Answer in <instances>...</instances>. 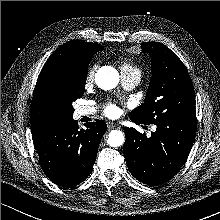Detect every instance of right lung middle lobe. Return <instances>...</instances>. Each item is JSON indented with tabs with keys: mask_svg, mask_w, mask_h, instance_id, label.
<instances>
[{
	"mask_svg": "<svg viewBox=\"0 0 220 220\" xmlns=\"http://www.w3.org/2000/svg\"><path fill=\"white\" fill-rule=\"evenodd\" d=\"M92 57L73 60L64 65L56 76L55 96L62 118H72V103L84 93L88 65Z\"/></svg>",
	"mask_w": 220,
	"mask_h": 220,
	"instance_id": "dd1d6c3e",
	"label": "right lung middle lobe"
}]
</instances>
